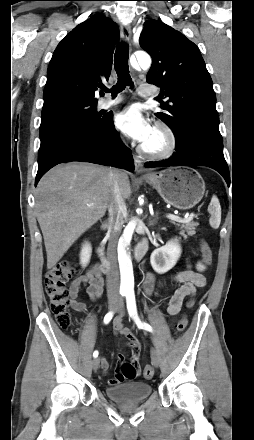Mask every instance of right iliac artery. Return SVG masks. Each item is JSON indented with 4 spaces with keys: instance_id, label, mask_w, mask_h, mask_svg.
Returning a JSON list of instances; mask_svg holds the SVG:
<instances>
[{
    "instance_id": "right-iliac-artery-1",
    "label": "right iliac artery",
    "mask_w": 254,
    "mask_h": 440,
    "mask_svg": "<svg viewBox=\"0 0 254 440\" xmlns=\"http://www.w3.org/2000/svg\"><path fill=\"white\" fill-rule=\"evenodd\" d=\"M123 295V294H122ZM113 312H109L105 315L104 317V323L107 324L111 321L112 317H113ZM98 356V351H94L93 353V357L96 358Z\"/></svg>"
}]
</instances>
